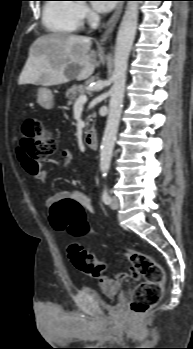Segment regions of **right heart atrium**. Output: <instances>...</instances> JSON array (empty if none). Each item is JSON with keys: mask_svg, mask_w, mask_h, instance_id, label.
Wrapping results in <instances>:
<instances>
[{"mask_svg": "<svg viewBox=\"0 0 193 349\" xmlns=\"http://www.w3.org/2000/svg\"><path fill=\"white\" fill-rule=\"evenodd\" d=\"M78 13L82 20L92 17L89 8L83 2L78 3Z\"/></svg>", "mask_w": 193, "mask_h": 349, "instance_id": "obj_1", "label": "right heart atrium"}]
</instances>
